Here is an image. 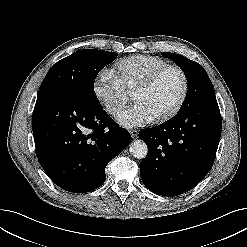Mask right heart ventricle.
Segmentation results:
<instances>
[{"mask_svg": "<svg viewBox=\"0 0 247 247\" xmlns=\"http://www.w3.org/2000/svg\"><path fill=\"white\" fill-rule=\"evenodd\" d=\"M168 65L162 58L149 55H135L117 61L111 70L125 91H131L148 74Z\"/></svg>", "mask_w": 247, "mask_h": 247, "instance_id": "obj_1", "label": "right heart ventricle"}]
</instances>
